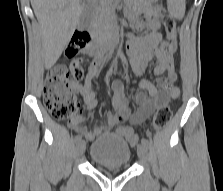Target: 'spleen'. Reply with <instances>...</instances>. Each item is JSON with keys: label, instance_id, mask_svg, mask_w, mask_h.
<instances>
[{"label": "spleen", "instance_id": "3e777b00", "mask_svg": "<svg viewBox=\"0 0 223 191\" xmlns=\"http://www.w3.org/2000/svg\"><path fill=\"white\" fill-rule=\"evenodd\" d=\"M170 14L176 19H182L185 14V0H167Z\"/></svg>", "mask_w": 223, "mask_h": 191}]
</instances>
